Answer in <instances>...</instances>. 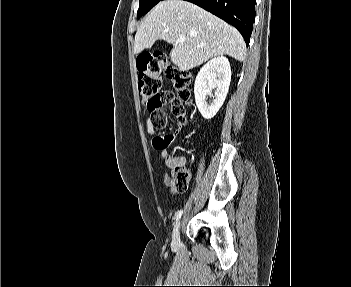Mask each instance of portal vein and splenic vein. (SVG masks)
Here are the masks:
<instances>
[{"instance_id": "obj_1", "label": "portal vein and splenic vein", "mask_w": 351, "mask_h": 287, "mask_svg": "<svg viewBox=\"0 0 351 287\" xmlns=\"http://www.w3.org/2000/svg\"><path fill=\"white\" fill-rule=\"evenodd\" d=\"M180 41H181V42H184V41H185V39H184V38H181V39H180Z\"/></svg>"}]
</instances>
